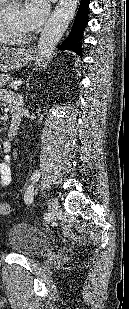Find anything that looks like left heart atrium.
Returning a JSON list of instances; mask_svg holds the SVG:
<instances>
[{
	"label": "left heart atrium",
	"mask_w": 129,
	"mask_h": 309,
	"mask_svg": "<svg viewBox=\"0 0 129 309\" xmlns=\"http://www.w3.org/2000/svg\"><path fill=\"white\" fill-rule=\"evenodd\" d=\"M45 5L39 0H30L22 12L23 23L29 28H35L45 15Z\"/></svg>",
	"instance_id": "1"
}]
</instances>
